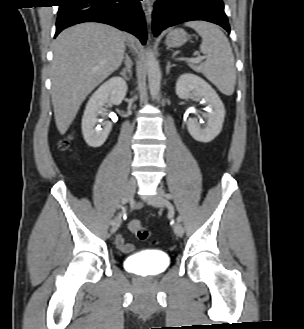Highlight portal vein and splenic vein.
<instances>
[{
    "label": "portal vein and splenic vein",
    "instance_id": "portal-vein-and-splenic-vein-1",
    "mask_svg": "<svg viewBox=\"0 0 304 329\" xmlns=\"http://www.w3.org/2000/svg\"><path fill=\"white\" fill-rule=\"evenodd\" d=\"M180 60H185V61L191 62V63H199L204 60V57L198 56L196 58H180Z\"/></svg>",
    "mask_w": 304,
    "mask_h": 329
}]
</instances>
